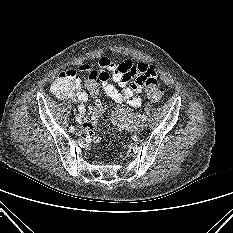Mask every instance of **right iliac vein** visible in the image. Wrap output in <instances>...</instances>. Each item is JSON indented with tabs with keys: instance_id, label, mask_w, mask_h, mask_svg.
Masks as SVG:
<instances>
[{
	"instance_id": "63e3f726",
	"label": "right iliac vein",
	"mask_w": 233,
	"mask_h": 233,
	"mask_svg": "<svg viewBox=\"0 0 233 233\" xmlns=\"http://www.w3.org/2000/svg\"><path fill=\"white\" fill-rule=\"evenodd\" d=\"M76 133L80 135L81 131L79 129H77Z\"/></svg>"
}]
</instances>
